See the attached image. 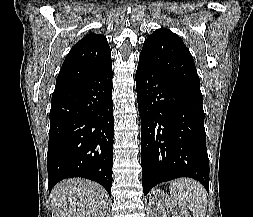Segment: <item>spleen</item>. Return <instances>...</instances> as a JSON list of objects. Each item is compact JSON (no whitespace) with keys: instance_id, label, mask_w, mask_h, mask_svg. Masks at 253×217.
Listing matches in <instances>:
<instances>
[{"instance_id":"1","label":"spleen","mask_w":253,"mask_h":217,"mask_svg":"<svg viewBox=\"0 0 253 217\" xmlns=\"http://www.w3.org/2000/svg\"><path fill=\"white\" fill-rule=\"evenodd\" d=\"M170 194L173 200L187 206L193 217H206L207 195L205 188L196 180L179 178L170 183Z\"/></svg>"}]
</instances>
